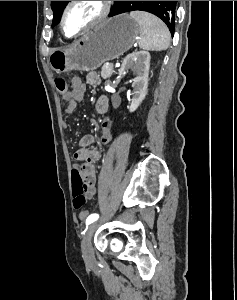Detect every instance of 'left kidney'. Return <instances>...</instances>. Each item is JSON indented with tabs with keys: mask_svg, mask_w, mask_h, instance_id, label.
<instances>
[{
	"mask_svg": "<svg viewBox=\"0 0 237 300\" xmlns=\"http://www.w3.org/2000/svg\"><path fill=\"white\" fill-rule=\"evenodd\" d=\"M150 59L148 51H135V53H130L125 57L121 69H119V75H124L127 69H132L137 75L132 83L133 97L129 107L130 113L138 109L147 95Z\"/></svg>",
	"mask_w": 237,
	"mask_h": 300,
	"instance_id": "obj_1",
	"label": "left kidney"
}]
</instances>
